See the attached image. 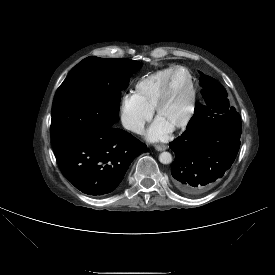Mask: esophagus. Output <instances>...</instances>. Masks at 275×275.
<instances>
[{"label": "esophagus", "instance_id": "obj_1", "mask_svg": "<svg viewBox=\"0 0 275 275\" xmlns=\"http://www.w3.org/2000/svg\"><path fill=\"white\" fill-rule=\"evenodd\" d=\"M155 149H156L157 151H164V150L167 149V146H166V145H156V146H155Z\"/></svg>", "mask_w": 275, "mask_h": 275}]
</instances>
